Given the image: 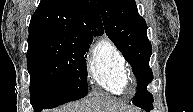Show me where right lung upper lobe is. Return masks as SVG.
Instances as JSON below:
<instances>
[{"label": "right lung upper lobe", "mask_w": 193, "mask_h": 112, "mask_svg": "<svg viewBox=\"0 0 193 112\" xmlns=\"http://www.w3.org/2000/svg\"><path fill=\"white\" fill-rule=\"evenodd\" d=\"M59 31L98 36L103 33L96 0H41L29 33Z\"/></svg>", "instance_id": "cb5924a9"}]
</instances>
